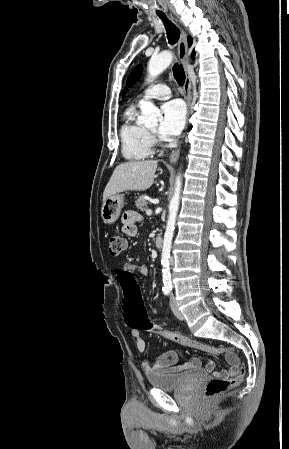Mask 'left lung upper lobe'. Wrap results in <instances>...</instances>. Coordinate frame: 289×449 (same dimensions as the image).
I'll use <instances>...</instances> for the list:
<instances>
[{"mask_svg":"<svg viewBox=\"0 0 289 449\" xmlns=\"http://www.w3.org/2000/svg\"><path fill=\"white\" fill-rule=\"evenodd\" d=\"M141 74H142V66L138 65L130 73V75L127 79L126 85L128 87L133 86ZM126 92H127V89L124 90L123 95H125Z\"/></svg>","mask_w":289,"mask_h":449,"instance_id":"5c2ea615","label":"left lung upper lobe"}]
</instances>
